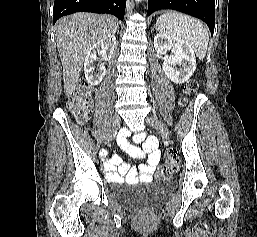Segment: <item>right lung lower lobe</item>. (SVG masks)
<instances>
[{"mask_svg":"<svg viewBox=\"0 0 257 237\" xmlns=\"http://www.w3.org/2000/svg\"><path fill=\"white\" fill-rule=\"evenodd\" d=\"M125 6L126 0H55L53 21L75 12L108 13L123 20Z\"/></svg>","mask_w":257,"mask_h":237,"instance_id":"1","label":"right lung lower lobe"}]
</instances>
